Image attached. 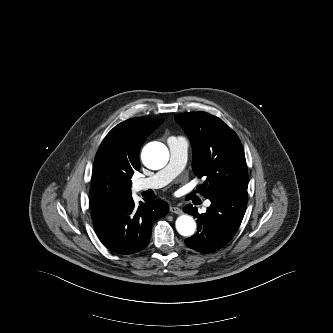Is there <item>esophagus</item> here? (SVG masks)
Masks as SVG:
<instances>
[{"instance_id":"obj_1","label":"esophagus","mask_w":333,"mask_h":333,"mask_svg":"<svg viewBox=\"0 0 333 333\" xmlns=\"http://www.w3.org/2000/svg\"><path fill=\"white\" fill-rule=\"evenodd\" d=\"M170 211L175 214H182V210L179 207L172 206L170 207Z\"/></svg>"}]
</instances>
